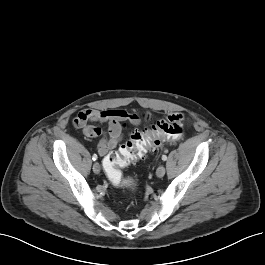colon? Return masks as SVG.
<instances>
[{
    "label": "colon",
    "instance_id": "obj_1",
    "mask_svg": "<svg viewBox=\"0 0 265 265\" xmlns=\"http://www.w3.org/2000/svg\"><path fill=\"white\" fill-rule=\"evenodd\" d=\"M181 119H161L146 132H134L130 140L118 151L111 152L103 161L104 170L110 183L116 188L137 189V182L123 177L122 169L142 157L147 151L156 149L162 142L178 140L183 136Z\"/></svg>",
    "mask_w": 265,
    "mask_h": 265
}]
</instances>
